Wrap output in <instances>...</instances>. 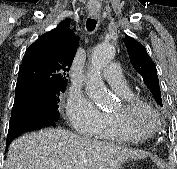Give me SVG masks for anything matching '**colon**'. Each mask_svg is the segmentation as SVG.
I'll use <instances>...</instances> for the list:
<instances>
[{
    "instance_id": "5ec220e1",
    "label": "colon",
    "mask_w": 177,
    "mask_h": 169,
    "mask_svg": "<svg viewBox=\"0 0 177 169\" xmlns=\"http://www.w3.org/2000/svg\"><path fill=\"white\" fill-rule=\"evenodd\" d=\"M156 169H163V168L159 167V168H156Z\"/></svg>"
}]
</instances>
